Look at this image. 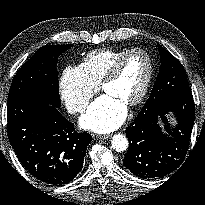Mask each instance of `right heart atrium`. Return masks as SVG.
Instances as JSON below:
<instances>
[{
    "label": "right heart atrium",
    "mask_w": 205,
    "mask_h": 205,
    "mask_svg": "<svg viewBox=\"0 0 205 205\" xmlns=\"http://www.w3.org/2000/svg\"><path fill=\"white\" fill-rule=\"evenodd\" d=\"M58 90L66 109L72 114L85 111L95 92L81 66L65 67L59 77Z\"/></svg>",
    "instance_id": "obj_1"
}]
</instances>
